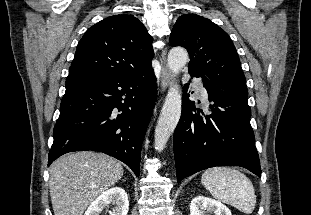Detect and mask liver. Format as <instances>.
Here are the masks:
<instances>
[{
	"mask_svg": "<svg viewBox=\"0 0 311 215\" xmlns=\"http://www.w3.org/2000/svg\"><path fill=\"white\" fill-rule=\"evenodd\" d=\"M54 215H83L86 208L123 176L122 164L91 151L69 153L49 169Z\"/></svg>",
	"mask_w": 311,
	"mask_h": 215,
	"instance_id": "6515ba94",
	"label": "liver"
}]
</instances>
